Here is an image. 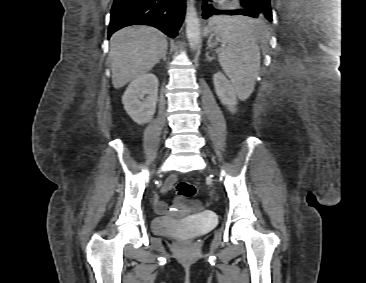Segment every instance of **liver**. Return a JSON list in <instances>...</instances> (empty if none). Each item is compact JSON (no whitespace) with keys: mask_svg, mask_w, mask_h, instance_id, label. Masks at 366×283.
<instances>
[{"mask_svg":"<svg viewBox=\"0 0 366 283\" xmlns=\"http://www.w3.org/2000/svg\"><path fill=\"white\" fill-rule=\"evenodd\" d=\"M168 47L165 35L148 25L122 28L111 37L112 84L118 89L150 71Z\"/></svg>","mask_w":366,"mask_h":283,"instance_id":"1","label":"liver"}]
</instances>
